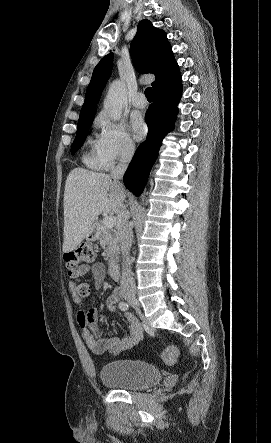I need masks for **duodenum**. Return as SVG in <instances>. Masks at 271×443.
Masks as SVG:
<instances>
[{"label":"duodenum","mask_w":271,"mask_h":443,"mask_svg":"<svg viewBox=\"0 0 271 443\" xmlns=\"http://www.w3.org/2000/svg\"><path fill=\"white\" fill-rule=\"evenodd\" d=\"M109 272L113 278L120 277V267L117 261L112 260L109 264Z\"/></svg>","instance_id":"obj_1"}]
</instances>
